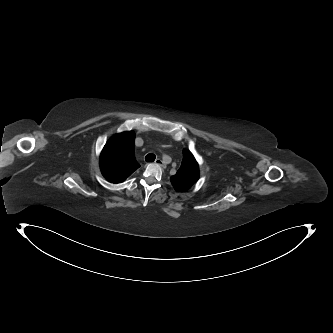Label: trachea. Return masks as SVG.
I'll return each mask as SVG.
<instances>
[{
    "label": "trachea",
    "mask_w": 333,
    "mask_h": 333,
    "mask_svg": "<svg viewBox=\"0 0 333 333\" xmlns=\"http://www.w3.org/2000/svg\"><path fill=\"white\" fill-rule=\"evenodd\" d=\"M155 158H156V156L154 154L150 153V154H147L145 156V161L146 162H153L155 160Z\"/></svg>",
    "instance_id": "obj_1"
}]
</instances>
